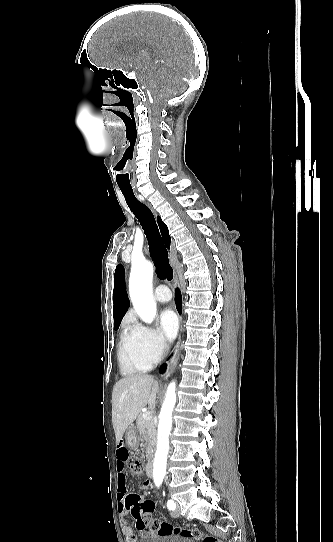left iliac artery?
<instances>
[{"label": "left iliac artery", "mask_w": 333, "mask_h": 542, "mask_svg": "<svg viewBox=\"0 0 333 542\" xmlns=\"http://www.w3.org/2000/svg\"><path fill=\"white\" fill-rule=\"evenodd\" d=\"M155 484H156L157 487H159L160 484H161V482H156ZM167 506H168V508H169L170 510H174V509L176 508V504H175L174 501H172V500H168Z\"/></svg>", "instance_id": "44dca946"}]
</instances>
